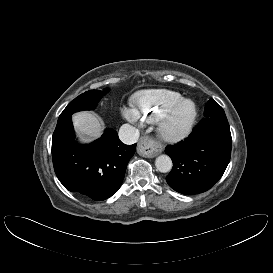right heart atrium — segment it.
I'll list each match as a JSON object with an SVG mask.
<instances>
[{"mask_svg": "<svg viewBox=\"0 0 273 273\" xmlns=\"http://www.w3.org/2000/svg\"><path fill=\"white\" fill-rule=\"evenodd\" d=\"M122 114L129 122L134 125H139L141 123V118L136 110L132 107H125L122 109Z\"/></svg>", "mask_w": 273, "mask_h": 273, "instance_id": "obj_1", "label": "right heart atrium"}]
</instances>
